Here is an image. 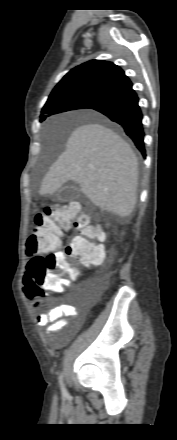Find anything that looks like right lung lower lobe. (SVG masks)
<instances>
[{
    "label": "right lung lower lobe",
    "instance_id": "98d812e1",
    "mask_svg": "<svg viewBox=\"0 0 177 440\" xmlns=\"http://www.w3.org/2000/svg\"><path fill=\"white\" fill-rule=\"evenodd\" d=\"M139 98L132 89V84L109 95L91 102L86 109L95 110L111 121L122 126L135 146L146 156L142 112L138 105Z\"/></svg>",
    "mask_w": 177,
    "mask_h": 440
}]
</instances>
